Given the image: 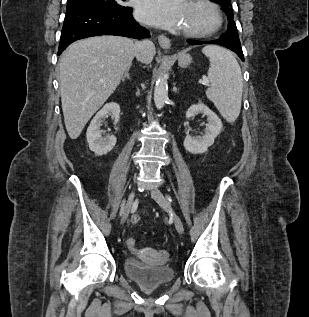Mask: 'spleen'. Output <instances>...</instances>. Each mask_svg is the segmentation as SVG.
<instances>
[{"mask_svg": "<svg viewBox=\"0 0 309 317\" xmlns=\"http://www.w3.org/2000/svg\"><path fill=\"white\" fill-rule=\"evenodd\" d=\"M209 59L207 98L214 103L228 122H234L241 110L243 78L234 55L219 46L208 45L202 49Z\"/></svg>", "mask_w": 309, "mask_h": 317, "instance_id": "obj_1", "label": "spleen"}]
</instances>
